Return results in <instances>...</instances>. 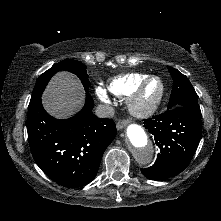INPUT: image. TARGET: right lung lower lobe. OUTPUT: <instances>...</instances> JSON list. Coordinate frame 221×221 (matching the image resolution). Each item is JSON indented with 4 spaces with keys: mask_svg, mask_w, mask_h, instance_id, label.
<instances>
[{
    "mask_svg": "<svg viewBox=\"0 0 221 221\" xmlns=\"http://www.w3.org/2000/svg\"><path fill=\"white\" fill-rule=\"evenodd\" d=\"M93 107V99L87 93L83 109L64 120L50 116L41 97L28 107V140L35 162L49 178L64 187L90 183L105 149L116 136L113 120L98 118L92 113Z\"/></svg>",
    "mask_w": 221,
    "mask_h": 221,
    "instance_id": "98d812e1",
    "label": "right lung lower lobe"
}]
</instances>
